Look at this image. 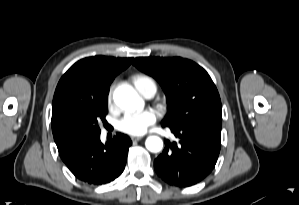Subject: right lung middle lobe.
I'll use <instances>...</instances> for the list:
<instances>
[{"label":"right lung middle lobe","instance_id":"dd1d6c3e","mask_svg":"<svg viewBox=\"0 0 299 205\" xmlns=\"http://www.w3.org/2000/svg\"><path fill=\"white\" fill-rule=\"evenodd\" d=\"M107 95L72 100L59 107L52 119V132L58 151L83 138L100 133L98 121L108 113Z\"/></svg>","mask_w":299,"mask_h":205}]
</instances>
